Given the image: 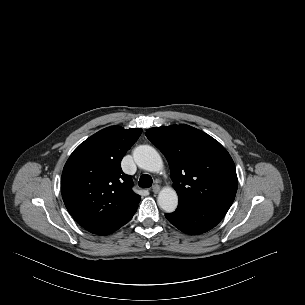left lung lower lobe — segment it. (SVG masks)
<instances>
[{
	"instance_id": "0a47b994",
	"label": "left lung lower lobe",
	"mask_w": 305,
	"mask_h": 305,
	"mask_svg": "<svg viewBox=\"0 0 305 305\" xmlns=\"http://www.w3.org/2000/svg\"><path fill=\"white\" fill-rule=\"evenodd\" d=\"M230 207L210 206L191 208L178 206L175 212L165 214L166 218L184 233L197 235L215 227Z\"/></svg>"
}]
</instances>
